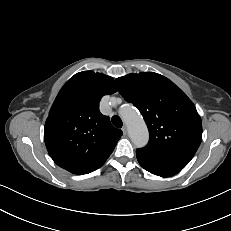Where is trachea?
Instances as JSON below:
<instances>
[{
  "label": "trachea",
  "instance_id": "trachea-1",
  "mask_svg": "<svg viewBox=\"0 0 231 231\" xmlns=\"http://www.w3.org/2000/svg\"><path fill=\"white\" fill-rule=\"evenodd\" d=\"M112 123L117 128H121L123 125L121 118L119 116H116V115L112 117Z\"/></svg>",
  "mask_w": 231,
  "mask_h": 231
}]
</instances>
